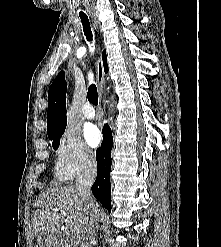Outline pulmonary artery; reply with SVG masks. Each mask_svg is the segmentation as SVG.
I'll return each instance as SVG.
<instances>
[{"mask_svg":"<svg viewBox=\"0 0 221 247\" xmlns=\"http://www.w3.org/2000/svg\"><path fill=\"white\" fill-rule=\"evenodd\" d=\"M83 114L85 118L92 119L95 116V110L89 103H87L83 109Z\"/></svg>","mask_w":221,"mask_h":247,"instance_id":"obj_1","label":"pulmonary artery"}]
</instances>
